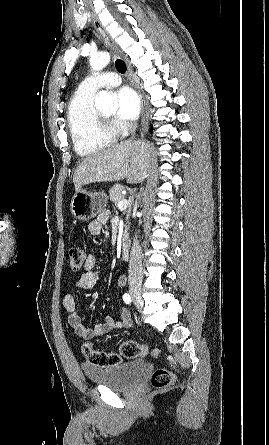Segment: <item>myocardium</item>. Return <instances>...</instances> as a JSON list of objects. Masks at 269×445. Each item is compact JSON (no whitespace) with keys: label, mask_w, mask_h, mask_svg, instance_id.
Wrapping results in <instances>:
<instances>
[{"label":"myocardium","mask_w":269,"mask_h":445,"mask_svg":"<svg viewBox=\"0 0 269 445\" xmlns=\"http://www.w3.org/2000/svg\"><path fill=\"white\" fill-rule=\"evenodd\" d=\"M99 119L105 127H111V119L108 116L99 114Z\"/></svg>","instance_id":"obj_1"}]
</instances>
